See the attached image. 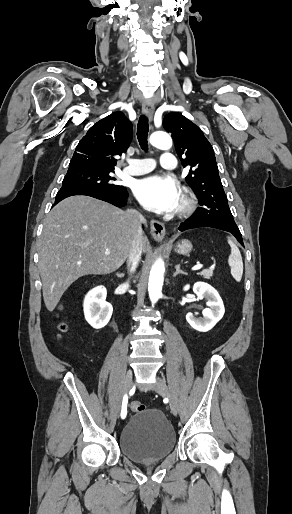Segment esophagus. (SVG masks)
I'll use <instances>...</instances> for the list:
<instances>
[{
    "label": "esophagus",
    "instance_id": "34e87169",
    "mask_svg": "<svg viewBox=\"0 0 292 514\" xmlns=\"http://www.w3.org/2000/svg\"><path fill=\"white\" fill-rule=\"evenodd\" d=\"M142 111L151 121L155 111L154 102L151 99L145 100L142 104ZM165 232L166 229L162 222H159L158 220L150 221V233L155 240H162L165 236Z\"/></svg>",
    "mask_w": 292,
    "mask_h": 514
}]
</instances>
